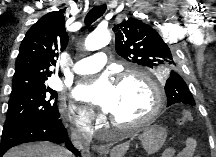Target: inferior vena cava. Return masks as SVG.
<instances>
[{
  "label": "inferior vena cava",
  "mask_w": 216,
  "mask_h": 157,
  "mask_svg": "<svg viewBox=\"0 0 216 157\" xmlns=\"http://www.w3.org/2000/svg\"><path fill=\"white\" fill-rule=\"evenodd\" d=\"M91 139V134L81 133L78 131L72 132V143L83 154L88 152Z\"/></svg>",
  "instance_id": "602c4592"
}]
</instances>
